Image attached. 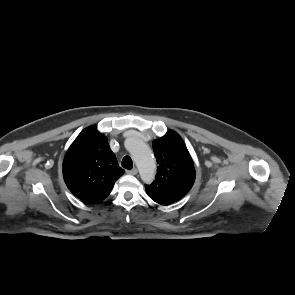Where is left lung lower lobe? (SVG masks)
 <instances>
[{
  "label": "left lung lower lobe",
  "instance_id": "0a47b994",
  "mask_svg": "<svg viewBox=\"0 0 295 295\" xmlns=\"http://www.w3.org/2000/svg\"><path fill=\"white\" fill-rule=\"evenodd\" d=\"M154 202L160 204V205H170L171 203H167L157 197H154V196H151V195H148Z\"/></svg>",
  "mask_w": 295,
  "mask_h": 295
}]
</instances>
